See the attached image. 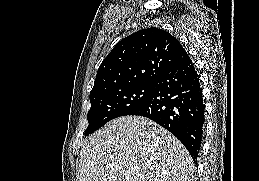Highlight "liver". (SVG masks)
Returning <instances> with one entry per match:
<instances>
[{"label":"liver","instance_id":"1","mask_svg":"<svg viewBox=\"0 0 259 181\" xmlns=\"http://www.w3.org/2000/svg\"><path fill=\"white\" fill-rule=\"evenodd\" d=\"M183 144L155 122L119 117L89 137L79 158L78 181H193Z\"/></svg>","mask_w":259,"mask_h":181}]
</instances>
